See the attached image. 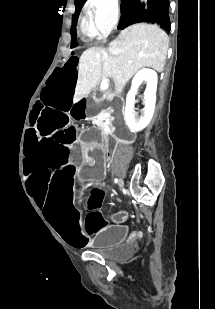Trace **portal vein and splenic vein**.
<instances>
[{
  "instance_id": "portal-vein-and-splenic-vein-1",
  "label": "portal vein and splenic vein",
  "mask_w": 215,
  "mask_h": 309,
  "mask_svg": "<svg viewBox=\"0 0 215 309\" xmlns=\"http://www.w3.org/2000/svg\"><path fill=\"white\" fill-rule=\"evenodd\" d=\"M108 80H109V78H105V80H103V82L100 86L101 90H106V88H108V86H109Z\"/></svg>"
}]
</instances>
